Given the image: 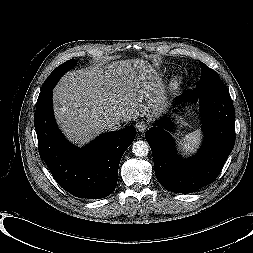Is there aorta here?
Wrapping results in <instances>:
<instances>
[{"label": "aorta", "mask_w": 253, "mask_h": 253, "mask_svg": "<svg viewBox=\"0 0 253 253\" xmlns=\"http://www.w3.org/2000/svg\"><path fill=\"white\" fill-rule=\"evenodd\" d=\"M132 152L138 157H144L149 152V145L145 141H136L132 146Z\"/></svg>", "instance_id": "obj_1"}]
</instances>
